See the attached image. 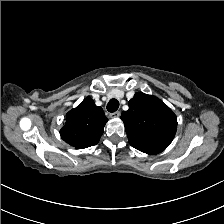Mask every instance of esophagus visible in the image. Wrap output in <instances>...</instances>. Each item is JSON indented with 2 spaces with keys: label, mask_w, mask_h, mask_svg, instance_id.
Returning <instances> with one entry per match:
<instances>
[{
  "label": "esophagus",
  "mask_w": 224,
  "mask_h": 224,
  "mask_svg": "<svg viewBox=\"0 0 224 224\" xmlns=\"http://www.w3.org/2000/svg\"><path fill=\"white\" fill-rule=\"evenodd\" d=\"M120 114H121L120 111H116V112L111 113V114H110V117H111V118H117V117L120 116Z\"/></svg>",
  "instance_id": "esophagus-1"
}]
</instances>
